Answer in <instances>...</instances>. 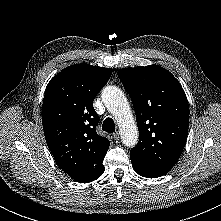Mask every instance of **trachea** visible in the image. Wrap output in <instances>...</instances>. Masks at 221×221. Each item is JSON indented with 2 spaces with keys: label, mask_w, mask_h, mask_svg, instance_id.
<instances>
[{
  "label": "trachea",
  "mask_w": 221,
  "mask_h": 221,
  "mask_svg": "<svg viewBox=\"0 0 221 221\" xmlns=\"http://www.w3.org/2000/svg\"><path fill=\"white\" fill-rule=\"evenodd\" d=\"M102 130L108 133L115 132L114 120L110 117L106 118L103 122Z\"/></svg>",
  "instance_id": "trachea-1"
}]
</instances>
